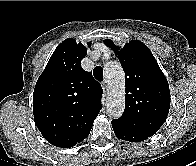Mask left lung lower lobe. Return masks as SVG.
Returning a JSON list of instances; mask_svg holds the SVG:
<instances>
[{
    "mask_svg": "<svg viewBox=\"0 0 196 166\" xmlns=\"http://www.w3.org/2000/svg\"><path fill=\"white\" fill-rule=\"evenodd\" d=\"M112 127H113L115 135L118 138L127 140L129 142H140V141H144L148 138V137L139 135L137 133H134L114 121H112Z\"/></svg>",
    "mask_w": 196,
    "mask_h": 166,
    "instance_id": "left-lung-lower-lobe-1",
    "label": "left lung lower lobe"
}]
</instances>
